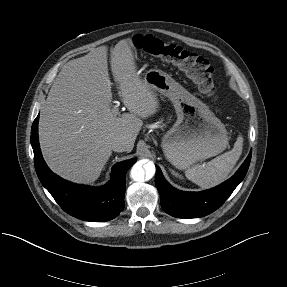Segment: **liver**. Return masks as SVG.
I'll return each mask as SVG.
<instances>
[{"instance_id": "6515ba94", "label": "liver", "mask_w": 287, "mask_h": 287, "mask_svg": "<svg viewBox=\"0 0 287 287\" xmlns=\"http://www.w3.org/2000/svg\"><path fill=\"white\" fill-rule=\"evenodd\" d=\"M131 39L111 50V69L129 113L117 116L111 109L112 83L108 74L107 46L67 62L41 107L39 142L49 168L76 183L97 180L112 154L110 141L123 138L127 152L159 103L137 74Z\"/></svg>"}]
</instances>
